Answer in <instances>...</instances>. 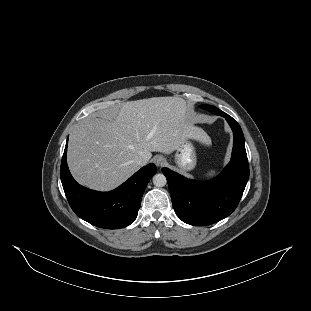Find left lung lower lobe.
Returning a JSON list of instances; mask_svg holds the SVG:
<instances>
[{
	"mask_svg": "<svg viewBox=\"0 0 311 311\" xmlns=\"http://www.w3.org/2000/svg\"><path fill=\"white\" fill-rule=\"evenodd\" d=\"M220 116L230 125L234 140L231 161L219 176L198 182L162 168L176 214L185 223L195 226L210 225L229 216L236 209L249 178L242 129L223 111Z\"/></svg>",
	"mask_w": 311,
	"mask_h": 311,
	"instance_id": "0a47b994",
	"label": "left lung lower lobe"
}]
</instances>
